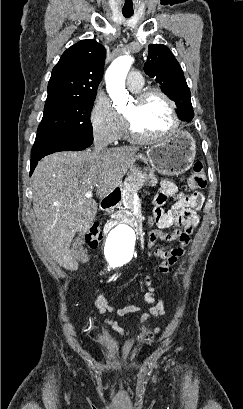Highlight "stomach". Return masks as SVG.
Here are the masks:
<instances>
[{
  "label": "stomach",
  "instance_id": "obj_1",
  "mask_svg": "<svg viewBox=\"0 0 243 409\" xmlns=\"http://www.w3.org/2000/svg\"><path fill=\"white\" fill-rule=\"evenodd\" d=\"M196 143L187 131L178 130L164 141L149 147L145 154H138L132 165L131 173H142L149 178L155 171L174 176L186 172L193 164Z\"/></svg>",
  "mask_w": 243,
  "mask_h": 409
}]
</instances>
